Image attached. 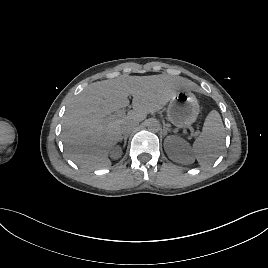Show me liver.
<instances>
[{"mask_svg":"<svg viewBox=\"0 0 268 268\" xmlns=\"http://www.w3.org/2000/svg\"><path fill=\"white\" fill-rule=\"evenodd\" d=\"M188 85L183 78L164 74L121 75L88 85L74 97L63 116L62 140L70 159L82 168L109 167L108 153L122 137V124L138 125ZM129 95L133 96V110L111 118L112 113L129 105Z\"/></svg>","mask_w":268,"mask_h":268,"instance_id":"obj_1","label":"liver"}]
</instances>
